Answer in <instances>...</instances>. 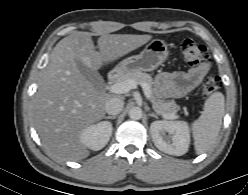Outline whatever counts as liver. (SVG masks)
Segmentation results:
<instances>
[{
	"label": "liver",
	"instance_id": "1",
	"mask_svg": "<svg viewBox=\"0 0 248 195\" xmlns=\"http://www.w3.org/2000/svg\"><path fill=\"white\" fill-rule=\"evenodd\" d=\"M92 33L76 31L60 40L50 55L33 100V121L45 147L57 158L81 160L90 152L81 132L104 118L111 98L80 73L76 60L92 70L147 43L151 35L102 34L95 51Z\"/></svg>",
	"mask_w": 248,
	"mask_h": 195
}]
</instances>
